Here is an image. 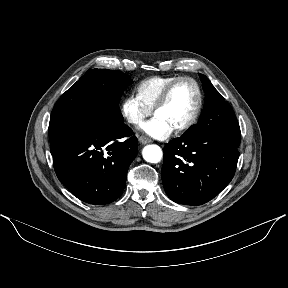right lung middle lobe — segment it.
Returning <instances> with one entry per match:
<instances>
[{"label": "right lung middle lobe", "instance_id": "right-lung-middle-lobe-1", "mask_svg": "<svg viewBox=\"0 0 288 288\" xmlns=\"http://www.w3.org/2000/svg\"><path fill=\"white\" fill-rule=\"evenodd\" d=\"M132 82L121 71L89 69L56 102L50 125L68 114L84 109L95 112L113 126L124 124L119 101L125 88Z\"/></svg>", "mask_w": 288, "mask_h": 288}]
</instances>
